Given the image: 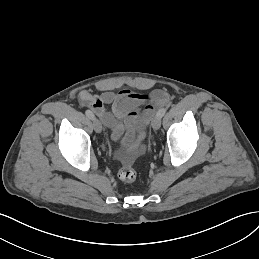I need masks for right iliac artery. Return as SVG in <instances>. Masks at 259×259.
Masks as SVG:
<instances>
[{
    "mask_svg": "<svg viewBox=\"0 0 259 259\" xmlns=\"http://www.w3.org/2000/svg\"><path fill=\"white\" fill-rule=\"evenodd\" d=\"M85 114L87 115L88 118L90 119H94V114L92 113V111L90 110H86Z\"/></svg>",
    "mask_w": 259,
    "mask_h": 259,
    "instance_id": "obj_1",
    "label": "right iliac artery"
}]
</instances>
